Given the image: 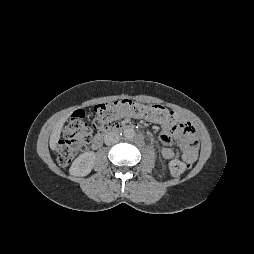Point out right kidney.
<instances>
[{"mask_svg": "<svg viewBox=\"0 0 254 254\" xmlns=\"http://www.w3.org/2000/svg\"><path fill=\"white\" fill-rule=\"evenodd\" d=\"M95 162V153L93 151L85 152L78 156L70 167V174L74 176L88 175Z\"/></svg>", "mask_w": 254, "mask_h": 254, "instance_id": "right-kidney-1", "label": "right kidney"}]
</instances>
